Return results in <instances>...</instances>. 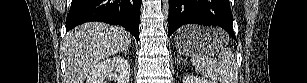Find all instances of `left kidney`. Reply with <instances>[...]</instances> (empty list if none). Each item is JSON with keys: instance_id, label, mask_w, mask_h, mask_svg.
<instances>
[{"instance_id": "obj_1", "label": "left kidney", "mask_w": 307, "mask_h": 83, "mask_svg": "<svg viewBox=\"0 0 307 83\" xmlns=\"http://www.w3.org/2000/svg\"><path fill=\"white\" fill-rule=\"evenodd\" d=\"M183 83H212L204 78H200L197 76H186L183 80Z\"/></svg>"}]
</instances>
